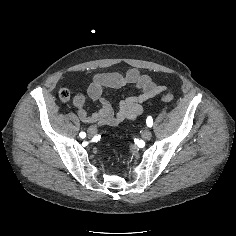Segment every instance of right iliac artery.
Wrapping results in <instances>:
<instances>
[{"label": "right iliac artery", "mask_w": 236, "mask_h": 236, "mask_svg": "<svg viewBox=\"0 0 236 236\" xmlns=\"http://www.w3.org/2000/svg\"><path fill=\"white\" fill-rule=\"evenodd\" d=\"M79 136H80L81 138H85V137H86V133H85V132H81V133L79 134Z\"/></svg>", "instance_id": "right-iliac-artery-1"}]
</instances>
